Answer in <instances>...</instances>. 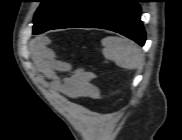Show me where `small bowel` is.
Returning a JSON list of instances; mask_svg holds the SVG:
<instances>
[{
	"instance_id": "obj_1",
	"label": "small bowel",
	"mask_w": 182,
	"mask_h": 140,
	"mask_svg": "<svg viewBox=\"0 0 182 140\" xmlns=\"http://www.w3.org/2000/svg\"><path fill=\"white\" fill-rule=\"evenodd\" d=\"M42 59L46 67L43 81L51 91L59 92L71 99L98 98L99 89L93 83L94 73L83 67L72 69L67 62L57 60L51 50H44ZM58 72L67 73V75L60 76Z\"/></svg>"
}]
</instances>
